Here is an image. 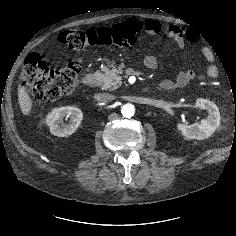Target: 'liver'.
I'll return each instance as SVG.
<instances>
[{
    "label": "liver",
    "mask_w": 236,
    "mask_h": 236,
    "mask_svg": "<svg viewBox=\"0 0 236 236\" xmlns=\"http://www.w3.org/2000/svg\"><path fill=\"white\" fill-rule=\"evenodd\" d=\"M18 101L22 113L25 116L30 115L32 110V100L26 91V88L21 84L18 86Z\"/></svg>",
    "instance_id": "1"
}]
</instances>
